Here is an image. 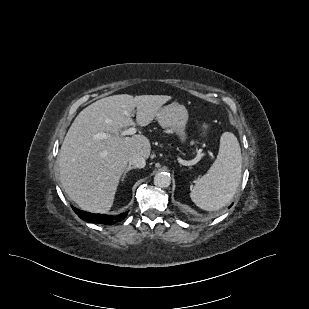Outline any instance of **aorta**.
<instances>
[{
  "instance_id": "1",
  "label": "aorta",
  "mask_w": 309,
  "mask_h": 309,
  "mask_svg": "<svg viewBox=\"0 0 309 309\" xmlns=\"http://www.w3.org/2000/svg\"><path fill=\"white\" fill-rule=\"evenodd\" d=\"M154 183L160 188H167L171 184V177L167 172H158L154 177Z\"/></svg>"
}]
</instances>
